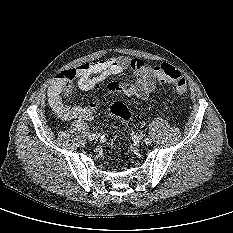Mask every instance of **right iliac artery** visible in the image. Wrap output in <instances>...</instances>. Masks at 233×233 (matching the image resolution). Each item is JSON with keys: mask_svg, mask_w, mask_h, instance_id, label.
I'll use <instances>...</instances> for the list:
<instances>
[{"mask_svg": "<svg viewBox=\"0 0 233 233\" xmlns=\"http://www.w3.org/2000/svg\"><path fill=\"white\" fill-rule=\"evenodd\" d=\"M88 139L90 141L94 140L95 139V134H90L89 137H88Z\"/></svg>", "mask_w": 233, "mask_h": 233, "instance_id": "obj_1", "label": "right iliac artery"}]
</instances>
